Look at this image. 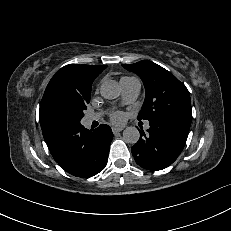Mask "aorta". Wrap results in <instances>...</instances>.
I'll return each instance as SVG.
<instances>
[{
    "label": "aorta",
    "mask_w": 231,
    "mask_h": 231,
    "mask_svg": "<svg viewBox=\"0 0 231 231\" xmlns=\"http://www.w3.org/2000/svg\"><path fill=\"white\" fill-rule=\"evenodd\" d=\"M101 96L105 99H115L120 95V88L116 81L107 80L100 88ZM140 138V133L136 127L130 126L123 131V140L126 143L136 144Z\"/></svg>",
    "instance_id": "762f6f07"
}]
</instances>
